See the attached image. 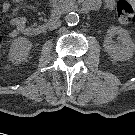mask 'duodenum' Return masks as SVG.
<instances>
[{"instance_id":"duodenum-1","label":"duodenum","mask_w":135,"mask_h":135,"mask_svg":"<svg viewBox=\"0 0 135 135\" xmlns=\"http://www.w3.org/2000/svg\"><path fill=\"white\" fill-rule=\"evenodd\" d=\"M60 6L62 7V10H65L67 12L70 11L86 12L92 7L91 3H89L87 0H79L75 2L73 0H66ZM28 33L32 35H40L42 33V29L40 26L30 28L28 30Z\"/></svg>"}]
</instances>
